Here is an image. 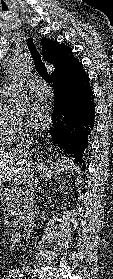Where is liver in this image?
Listing matches in <instances>:
<instances>
[{"label":"liver","instance_id":"liver-1","mask_svg":"<svg viewBox=\"0 0 113 279\" xmlns=\"http://www.w3.org/2000/svg\"><path fill=\"white\" fill-rule=\"evenodd\" d=\"M30 167V159L17 150H0V181L12 180L17 185H23L31 172Z\"/></svg>","mask_w":113,"mask_h":279}]
</instances>
